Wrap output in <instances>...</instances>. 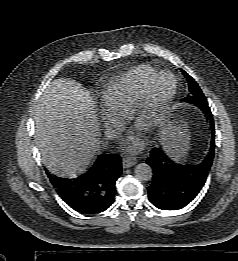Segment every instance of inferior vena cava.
Here are the masks:
<instances>
[{
	"mask_svg": "<svg viewBox=\"0 0 238 261\" xmlns=\"http://www.w3.org/2000/svg\"><path fill=\"white\" fill-rule=\"evenodd\" d=\"M105 134H106V136L108 137V138H116L117 137V133H116V131L115 130H113V129H107L106 130V132H105Z\"/></svg>",
	"mask_w": 238,
	"mask_h": 261,
	"instance_id": "obj_1",
	"label": "inferior vena cava"
}]
</instances>
